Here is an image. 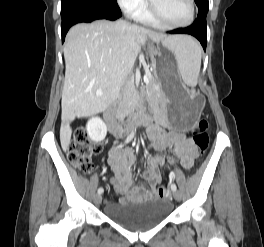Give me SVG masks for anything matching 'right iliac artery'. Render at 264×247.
Segmentation results:
<instances>
[{"instance_id": "82829eb1", "label": "right iliac artery", "mask_w": 264, "mask_h": 247, "mask_svg": "<svg viewBox=\"0 0 264 247\" xmlns=\"http://www.w3.org/2000/svg\"><path fill=\"white\" fill-rule=\"evenodd\" d=\"M135 131H136V128H135V130H133L132 132H131V134L127 137V139H126V143H128V142H130L131 140H132V138L134 137V134H135ZM103 188H99L98 189V194H101V193H103Z\"/></svg>"}]
</instances>
